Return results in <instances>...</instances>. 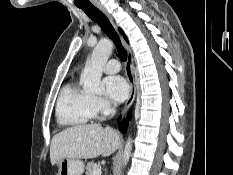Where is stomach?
<instances>
[{
	"mask_svg": "<svg viewBox=\"0 0 233 175\" xmlns=\"http://www.w3.org/2000/svg\"><path fill=\"white\" fill-rule=\"evenodd\" d=\"M58 175H82L84 163L81 160L62 158L56 162Z\"/></svg>",
	"mask_w": 233,
	"mask_h": 175,
	"instance_id": "1",
	"label": "stomach"
}]
</instances>
